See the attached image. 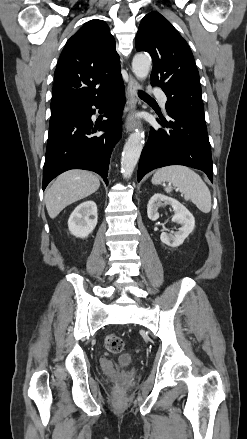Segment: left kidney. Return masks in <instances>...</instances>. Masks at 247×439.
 Segmentation results:
<instances>
[{"instance_id": "1", "label": "left kidney", "mask_w": 247, "mask_h": 439, "mask_svg": "<svg viewBox=\"0 0 247 439\" xmlns=\"http://www.w3.org/2000/svg\"><path fill=\"white\" fill-rule=\"evenodd\" d=\"M163 204L172 206L174 211L172 221L179 224L180 228L177 232L171 231L169 234L162 232L160 235V240L162 243L168 246L178 247L194 230L195 218L189 212V210L176 199L165 196L161 193H155L147 205V214L150 220H158V208Z\"/></svg>"}]
</instances>
